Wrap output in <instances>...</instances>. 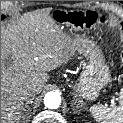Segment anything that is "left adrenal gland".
<instances>
[{
  "label": "left adrenal gland",
  "mask_w": 123,
  "mask_h": 123,
  "mask_svg": "<svg viewBox=\"0 0 123 123\" xmlns=\"http://www.w3.org/2000/svg\"><path fill=\"white\" fill-rule=\"evenodd\" d=\"M76 101H78L79 103L77 104V107H81V108H83L84 107V103H83V101L82 100H79V99H76ZM76 104V102H72V106L73 105H75Z\"/></svg>",
  "instance_id": "1"
}]
</instances>
